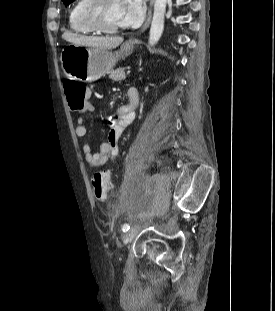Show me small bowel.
<instances>
[{"label":"small bowel","mask_w":275,"mask_h":311,"mask_svg":"<svg viewBox=\"0 0 275 311\" xmlns=\"http://www.w3.org/2000/svg\"><path fill=\"white\" fill-rule=\"evenodd\" d=\"M128 97H135L138 100V91L131 88L128 91ZM136 105L129 103L127 105L119 107L114 110L113 115L108 120V134L107 140L104 141L97 152H93L89 143L84 141L82 144V150L84 153V158L88 166L92 168H97L104 165L110 158L117 155V144L122 136L124 129L133 121L134 119V108ZM75 135L78 138L85 137L87 129L85 126L84 116H79L76 120Z\"/></svg>","instance_id":"1"}]
</instances>
